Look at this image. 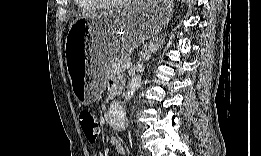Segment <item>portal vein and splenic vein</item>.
<instances>
[{
	"instance_id": "portal-vein-and-splenic-vein-1",
	"label": "portal vein and splenic vein",
	"mask_w": 261,
	"mask_h": 156,
	"mask_svg": "<svg viewBox=\"0 0 261 156\" xmlns=\"http://www.w3.org/2000/svg\"><path fill=\"white\" fill-rule=\"evenodd\" d=\"M131 65H132V62L129 60V61L125 62L122 67L124 69H127V68L131 67Z\"/></svg>"
}]
</instances>
